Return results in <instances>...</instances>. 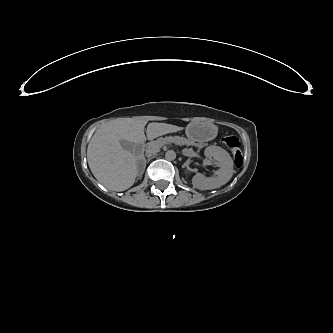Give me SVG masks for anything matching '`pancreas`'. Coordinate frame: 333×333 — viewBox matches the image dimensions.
Returning a JSON list of instances; mask_svg holds the SVG:
<instances>
[{"label":"pancreas","instance_id":"1","mask_svg":"<svg viewBox=\"0 0 333 333\" xmlns=\"http://www.w3.org/2000/svg\"><path fill=\"white\" fill-rule=\"evenodd\" d=\"M163 142H168V140H159V141H155L151 144H149L146 148V153L148 155H152L156 152V149L159 147V145ZM173 143L176 144H186V145H190V143L186 140L180 139V140H172Z\"/></svg>","mask_w":333,"mask_h":333}]
</instances>
